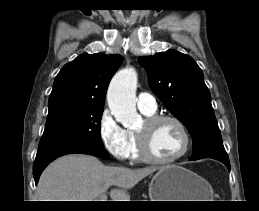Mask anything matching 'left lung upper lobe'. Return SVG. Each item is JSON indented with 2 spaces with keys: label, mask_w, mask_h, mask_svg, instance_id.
I'll return each instance as SVG.
<instances>
[{
  "label": "left lung upper lobe",
  "mask_w": 259,
  "mask_h": 211,
  "mask_svg": "<svg viewBox=\"0 0 259 211\" xmlns=\"http://www.w3.org/2000/svg\"><path fill=\"white\" fill-rule=\"evenodd\" d=\"M139 62L148 71L151 90L190 132L193 139L190 160L228 159L210 92L193 58L168 50L140 57Z\"/></svg>",
  "instance_id": "obj_1"
}]
</instances>
